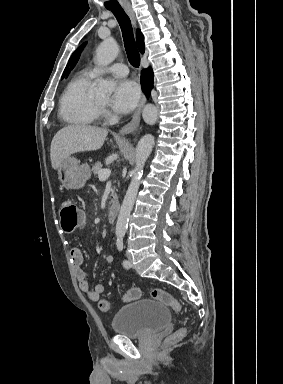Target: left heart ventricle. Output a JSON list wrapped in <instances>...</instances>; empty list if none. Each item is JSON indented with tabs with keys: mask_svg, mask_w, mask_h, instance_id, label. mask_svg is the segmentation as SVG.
Instances as JSON below:
<instances>
[{
	"mask_svg": "<svg viewBox=\"0 0 283 384\" xmlns=\"http://www.w3.org/2000/svg\"><path fill=\"white\" fill-rule=\"evenodd\" d=\"M96 101H98L102 105H107L109 103V98L97 99Z\"/></svg>",
	"mask_w": 283,
	"mask_h": 384,
	"instance_id": "obj_1",
	"label": "left heart ventricle"
}]
</instances>
